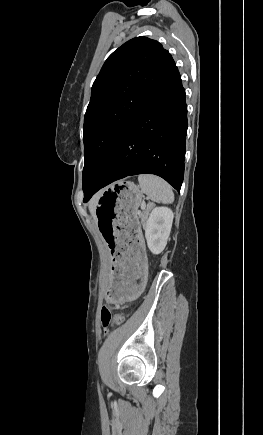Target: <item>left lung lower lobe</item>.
<instances>
[{
  "instance_id": "obj_1",
  "label": "left lung lower lobe",
  "mask_w": 263,
  "mask_h": 435,
  "mask_svg": "<svg viewBox=\"0 0 263 435\" xmlns=\"http://www.w3.org/2000/svg\"><path fill=\"white\" fill-rule=\"evenodd\" d=\"M187 127L185 90L177 71L127 127L107 164L84 192V202L106 185L142 173L158 175L180 191Z\"/></svg>"
}]
</instances>
